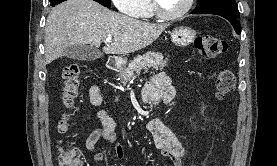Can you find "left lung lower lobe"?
<instances>
[{
  "label": "left lung lower lobe",
  "mask_w": 277,
  "mask_h": 166,
  "mask_svg": "<svg viewBox=\"0 0 277 166\" xmlns=\"http://www.w3.org/2000/svg\"><path fill=\"white\" fill-rule=\"evenodd\" d=\"M219 15L224 17L225 19H227L233 25L236 33L240 34V23H239L237 17H233V16H229V15H224V14H219Z\"/></svg>",
  "instance_id": "obj_1"
}]
</instances>
